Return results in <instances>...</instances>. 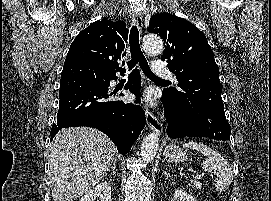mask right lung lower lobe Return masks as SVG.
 <instances>
[{
  "instance_id": "98d812e1",
  "label": "right lung lower lobe",
  "mask_w": 271,
  "mask_h": 201,
  "mask_svg": "<svg viewBox=\"0 0 271 201\" xmlns=\"http://www.w3.org/2000/svg\"><path fill=\"white\" fill-rule=\"evenodd\" d=\"M116 72L81 61L64 64L57 122L51 128V139L62 128L89 126L109 136L121 154L130 151L145 126L144 110L139 104L140 73L135 69L125 86L137 100L125 103L109 99L116 94L108 93L110 81L117 79ZM119 72L124 75L125 70Z\"/></svg>"
}]
</instances>
